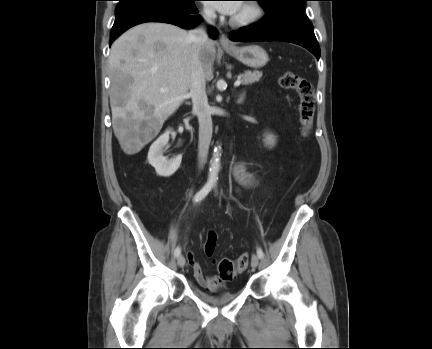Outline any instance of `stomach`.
<instances>
[{
    "label": "stomach",
    "instance_id": "1",
    "mask_svg": "<svg viewBox=\"0 0 432 349\" xmlns=\"http://www.w3.org/2000/svg\"><path fill=\"white\" fill-rule=\"evenodd\" d=\"M225 51L244 65L254 69L265 66L269 60L267 52L258 45L225 48Z\"/></svg>",
    "mask_w": 432,
    "mask_h": 349
}]
</instances>
